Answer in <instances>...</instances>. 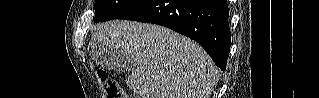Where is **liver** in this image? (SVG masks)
<instances>
[{
    "label": "liver",
    "mask_w": 319,
    "mask_h": 98,
    "mask_svg": "<svg viewBox=\"0 0 319 98\" xmlns=\"http://www.w3.org/2000/svg\"><path fill=\"white\" fill-rule=\"evenodd\" d=\"M97 45L131 56L125 81L139 98H209L219 80L198 43L163 26L109 21L92 34V49Z\"/></svg>",
    "instance_id": "obj_1"
}]
</instances>
